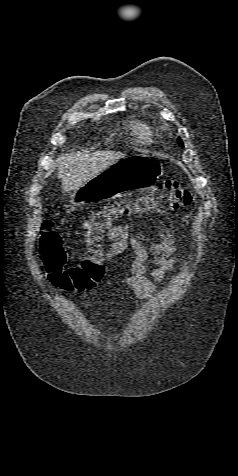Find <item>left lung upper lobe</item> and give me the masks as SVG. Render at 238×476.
Instances as JSON below:
<instances>
[{"mask_svg": "<svg viewBox=\"0 0 238 476\" xmlns=\"http://www.w3.org/2000/svg\"><path fill=\"white\" fill-rule=\"evenodd\" d=\"M179 145H180L181 147H184V146H183V142L181 141V139H179Z\"/></svg>", "mask_w": 238, "mask_h": 476, "instance_id": "1", "label": "left lung upper lobe"}]
</instances>
